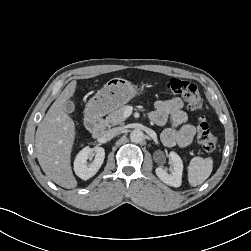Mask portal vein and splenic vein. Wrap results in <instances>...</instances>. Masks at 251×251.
I'll return each instance as SVG.
<instances>
[{
	"mask_svg": "<svg viewBox=\"0 0 251 251\" xmlns=\"http://www.w3.org/2000/svg\"><path fill=\"white\" fill-rule=\"evenodd\" d=\"M130 115V113L128 112V111H125L124 112V117L126 118V117H128Z\"/></svg>",
	"mask_w": 251,
	"mask_h": 251,
	"instance_id": "obj_1",
	"label": "portal vein and splenic vein"
}]
</instances>
